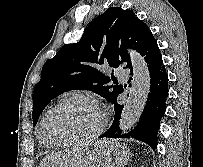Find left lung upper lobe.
I'll return each instance as SVG.
<instances>
[{
	"label": "left lung upper lobe",
	"instance_id": "left-lung-upper-lobe-1",
	"mask_svg": "<svg viewBox=\"0 0 203 167\" xmlns=\"http://www.w3.org/2000/svg\"><path fill=\"white\" fill-rule=\"evenodd\" d=\"M152 40L149 28L131 10L111 7L94 18L79 42L65 45L44 64L34 91L33 126L49 102L66 91L90 90L114 104L123 87L109 86L113 76H105L99 68H131L126 49L141 54Z\"/></svg>",
	"mask_w": 203,
	"mask_h": 167
}]
</instances>
